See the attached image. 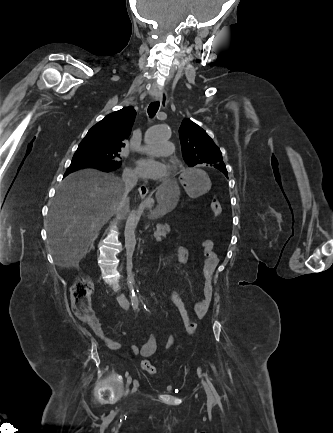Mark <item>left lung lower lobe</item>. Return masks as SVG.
<instances>
[{
    "instance_id": "1",
    "label": "left lung lower lobe",
    "mask_w": 333,
    "mask_h": 433,
    "mask_svg": "<svg viewBox=\"0 0 333 433\" xmlns=\"http://www.w3.org/2000/svg\"><path fill=\"white\" fill-rule=\"evenodd\" d=\"M213 167H215L216 169H218V170H220L221 169V167L220 166H218V165H213ZM221 171V170H220Z\"/></svg>"
}]
</instances>
